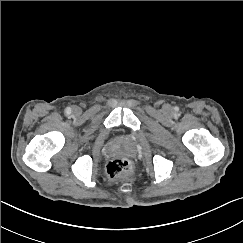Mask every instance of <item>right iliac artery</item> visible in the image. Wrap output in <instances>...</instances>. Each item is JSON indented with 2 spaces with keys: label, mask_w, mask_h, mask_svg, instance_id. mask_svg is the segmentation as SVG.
I'll return each mask as SVG.
<instances>
[{
  "label": "right iliac artery",
  "mask_w": 243,
  "mask_h": 243,
  "mask_svg": "<svg viewBox=\"0 0 243 243\" xmlns=\"http://www.w3.org/2000/svg\"><path fill=\"white\" fill-rule=\"evenodd\" d=\"M65 114H66V115H70V114H71V108H70V107H67V108L65 109Z\"/></svg>",
  "instance_id": "obj_1"
}]
</instances>
